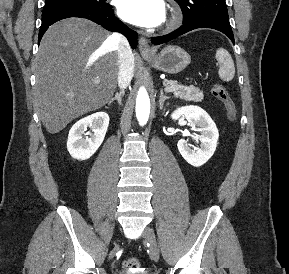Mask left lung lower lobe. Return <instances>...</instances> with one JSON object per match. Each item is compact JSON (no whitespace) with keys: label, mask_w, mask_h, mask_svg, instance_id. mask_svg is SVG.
<instances>
[{"label":"left lung lower lobe","mask_w":289,"mask_h":274,"mask_svg":"<svg viewBox=\"0 0 289 274\" xmlns=\"http://www.w3.org/2000/svg\"><path fill=\"white\" fill-rule=\"evenodd\" d=\"M197 28H212L218 30L227 35L234 44V36L228 17L214 15L203 16L188 23H184V25L171 34L153 38L151 39V42L155 45H159Z\"/></svg>","instance_id":"0a47b994"}]
</instances>
